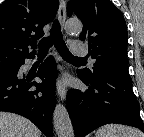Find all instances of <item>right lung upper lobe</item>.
I'll list each match as a JSON object with an SVG mask.
<instances>
[{"label": "right lung upper lobe", "instance_id": "obj_1", "mask_svg": "<svg viewBox=\"0 0 144 137\" xmlns=\"http://www.w3.org/2000/svg\"><path fill=\"white\" fill-rule=\"evenodd\" d=\"M58 7L59 0H5L0 5V72L35 54L28 46L35 48Z\"/></svg>", "mask_w": 144, "mask_h": 137}]
</instances>
